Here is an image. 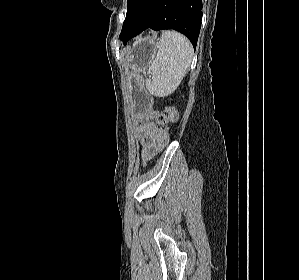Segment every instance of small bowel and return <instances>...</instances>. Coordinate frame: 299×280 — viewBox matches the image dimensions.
Here are the masks:
<instances>
[{
  "mask_svg": "<svg viewBox=\"0 0 299 280\" xmlns=\"http://www.w3.org/2000/svg\"><path fill=\"white\" fill-rule=\"evenodd\" d=\"M139 143L143 160L147 161L157 155L167 142L165 128L146 121L138 126Z\"/></svg>",
  "mask_w": 299,
  "mask_h": 280,
  "instance_id": "1",
  "label": "small bowel"
}]
</instances>
